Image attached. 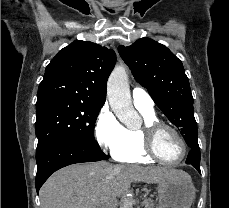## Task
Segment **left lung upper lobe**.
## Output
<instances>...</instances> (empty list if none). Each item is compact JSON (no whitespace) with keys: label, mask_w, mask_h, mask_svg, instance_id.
Instances as JSON below:
<instances>
[{"label":"left lung upper lobe","mask_w":229,"mask_h":208,"mask_svg":"<svg viewBox=\"0 0 229 208\" xmlns=\"http://www.w3.org/2000/svg\"><path fill=\"white\" fill-rule=\"evenodd\" d=\"M136 81L145 87L182 136L198 134L193 96L182 62L164 45L142 38L118 47Z\"/></svg>","instance_id":"5c2ea615"}]
</instances>
